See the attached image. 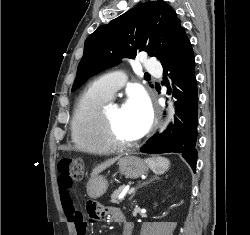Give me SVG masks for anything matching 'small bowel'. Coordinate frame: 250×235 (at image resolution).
<instances>
[{
    "label": "small bowel",
    "mask_w": 250,
    "mask_h": 235,
    "mask_svg": "<svg viewBox=\"0 0 250 235\" xmlns=\"http://www.w3.org/2000/svg\"><path fill=\"white\" fill-rule=\"evenodd\" d=\"M59 193L63 212L68 221L74 224L77 234L79 235L77 230L78 224H81L84 231H86L87 223L76 212L75 203L70 188H61L59 186ZM87 211L94 221L111 218L116 222L124 223V235L131 234V225L124 221L123 215L118 208L112 206H97L94 203H90L87 206Z\"/></svg>",
    "instance_id": "1"
}]
</instances>
